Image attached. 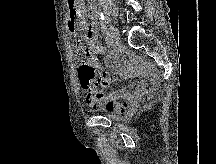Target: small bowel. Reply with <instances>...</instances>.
Masks as SVG:
<instances>
[{"instance_id":"c3829d8e","label":"small bowel","mask_w":216,"mask_h":164,"mask_svg":"<svg viewBox=\"0 0 216 164\" xmlns=\"http://www.w3.org/2000/svg\"><path fill=\"white\" fill-rule=\"evenodd\" d=\"M75 54L76 56L84 54L96 67H99V60L105 54V49L98 42L96 27L93 24L85 30V47H76ZM108 66L122 78L130 80L129 86L132 91L119 89L107 93L105 88L109 86L111 79L107 73H103L100 87L92 91H86L85 100L94 110L107 111L123 117L133 111L137 100L145 90V86L139 78L146 74V69L142 62L132 65L129 59L121 55L110 57Z\"/></svg>"}]
</instances>
